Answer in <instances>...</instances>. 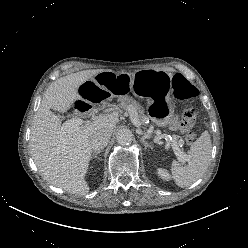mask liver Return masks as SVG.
I'll return each instance as SVG.
<instances>
[{
  "label": "liver",
  "instance_id": "6515ba94",
  "mask_svg": "<svg viewBox=\"0 0 248 248\" xmlns=\"http://www.w3.org/2000/svg\"><path fill=\"white\" fill-rule=\"evenodd\" d=\"M103 71L83 70L53 82L45 91L31 125L30 152L38 170L50 184L72 194L89 192L85 175L92 154L90 137L102 129L112 132L119 113L104 114L79 126L75 132L62 133V121L50 109L66 112L74 101H84L79 95V87Z\"/></svg>",
  "mask_w": 248,
  "mask_h": 248
}]
</instances>
